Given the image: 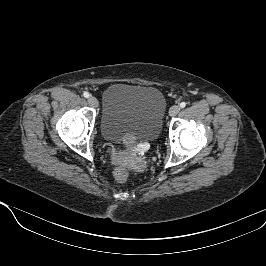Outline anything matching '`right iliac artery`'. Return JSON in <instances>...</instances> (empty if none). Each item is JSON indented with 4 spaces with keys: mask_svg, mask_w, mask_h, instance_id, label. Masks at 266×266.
I'll return each instance as SVG.
<instances>
[{
    "mask_svg": "<svg viewBox=\"0 0 266 266\" xmlns=\"http://www.w3.org/2000/svg\"><path fill=\"white\" fill-rule=\"evenodd\" d=\"M83 96H84L85 98H89L90 94H89L88 92H84V93H83Z\"/></svg>",
    "mask_w": 266,
    "mask_h": 266,
    "instance_id": "obj_1",
    "label": "right iliac artery"
}]
</instances>
